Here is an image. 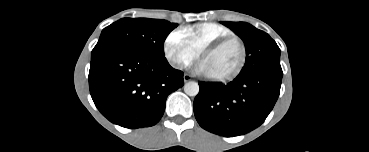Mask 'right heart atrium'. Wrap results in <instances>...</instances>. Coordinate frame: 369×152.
Listing matches in <instances>:
<instances>
[{
  "instance_id": "d8ad5b80",
  "label": "right heart atrium",
  "mask_w": 369,
  "mask_h": 152,
  "mask_svg": "<svg viewBox=\"0 0 369 152\" xmlns=\"http://www.w3.org/2000/svg\"><path fill=\"white\" fill-rule=\"evenodd\" d=\"M163 52L176 69L187 68L199 55L188 42L182 30L171 31L165 38Z\"/></svg>"
}]
</instances>
